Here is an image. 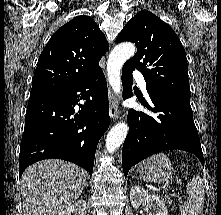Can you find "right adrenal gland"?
<instances>
[{"label": "right adrenal gland", "instance_id": "obj_1", "mask_svg": "<svg viewBox=\"0 0 221 215\" xmlns=\"http://www.w3.org/2000/svg\"><path fill=\"white\" fill-rule=\"evenodd\" d=\"M85 186H88V183H87V182L85 183Z\"/></svg>", "mask_w": 221, "mask_h": 215}]
</instances>
